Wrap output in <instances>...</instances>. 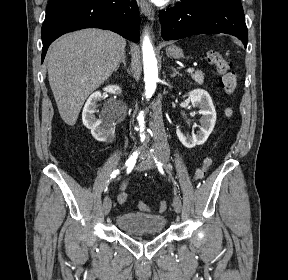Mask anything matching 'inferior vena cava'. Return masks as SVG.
Returning a JSON list of instances; mask_svg holds the SVG:
<instances>
[{
    "instance_id": "1",
    "label": "inferior vena cava",
    "mask_w": 288,
    "mask_h": 280,
    "mask_svg": "<svg viewBox=\"0 0 288 280\" xmlns=\"http://www.w3.org/2000/svg\"><path fill=\"white\" fill-rule=\"evenodd\" d=\"M162 92L158 93L157 101L161 100ZM161 105H152V121H151V137L154 143H157L158 150L155 152V157L158 159H167L170 142H167V134L165 132V125H163V114Z\"/></svg>"
}]
</instances>
